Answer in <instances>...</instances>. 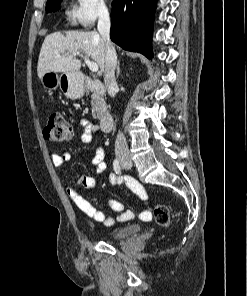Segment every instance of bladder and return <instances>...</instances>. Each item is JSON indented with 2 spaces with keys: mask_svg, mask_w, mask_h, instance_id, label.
Listing matches in <instances>:
<instances>
[{
  "mask_svg": "<svg viewBox=\"0 0 247 296\" xmlns=\"http://www.w3.org/2000/svg\"><path fill=\"white\" fill-rule=\"evenodd\" d=\"M139 230H140L139 224L126 225L113 231L110 234V239L112 241H120L135 235L136 233L139 232Z\"/></svg>",
  "mask_w": 247,
  "mask_h": 296,
  "instance_id": "obj_1",
  "label": "bladder"
}]
</instances>
